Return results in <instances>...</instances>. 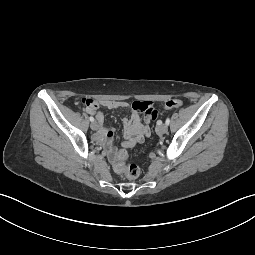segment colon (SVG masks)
<instances>
[{
    "label": "colon",
    "instance_id": "1",
    "mask_svg": "<svg viewBox=\"0 0 255 255\" xmlns=\"http://www.w3.org/2000/svg\"><path fill=\"white\" fill-rule=\"evenodd\" d=\"M82 103L85 106H94L97 101L92 98H83ZM183 105V102L179 99H171L165 103V107L168 109L179 108ZM128 158L127 151L125 149H120L113 154L114 159V171L117 174L124 176L127 179H135L139 176V167L135 164L127 165L126 161Z\"/></svg>",
    "mask_w": 255,
    "mask_h": 255
}]
</instances>
